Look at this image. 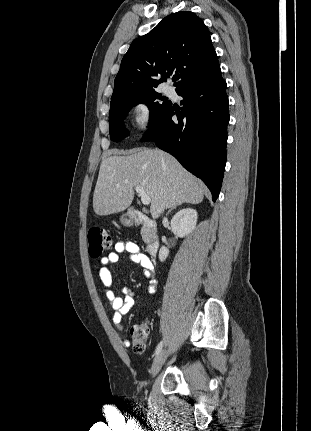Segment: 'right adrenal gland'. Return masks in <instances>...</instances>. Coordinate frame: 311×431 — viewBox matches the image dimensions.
<instances>
[{"label": "right adrenal gland", "mask_w": 311, "mask_h": 431, "mask_svg": "<svg viewBox=\"0 0 311 431\" xmlns=\"http://www.w3.org/2000/svg\"><path fill=\"white\" fill-rule=\"evenodd\" d=\"M177 206H182V204H177ZM177 206H173V208H171V210H169L168 214H170V212H172V210H176ZM168 214H166V216H168Z\"/></svg>", "instance_id": "obj_1"}]
</instances>
